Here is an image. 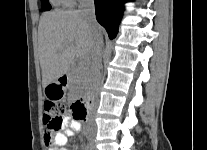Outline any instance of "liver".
<instances>
[{
  "label": "liver",
  "instance_id": "liver-1",
  "mask_svg": "<svg viewBox=\"0 0 207 150\" xmlns=\"http://www.w3.org/2000/svg\"><path fill=\"white\" fill-rule=\"evenodd\" d=\"M102 37V28L90 23L78 10H55L44 13L38 27V48L42 86L67 74L75 57L90 61L92 44Z\"/></svg>",
  "mask_w": 207,
  "mask_h": 150
}]
</instances>
